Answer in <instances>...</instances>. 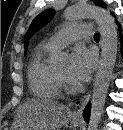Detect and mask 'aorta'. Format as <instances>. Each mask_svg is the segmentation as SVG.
Segmentation results:
<instances>
[{"label":"aorta","mask_w":123,"mask_h":130,"mask_svg":"<svg viewBox=\"0 0 123 130\" xmlns=\"http://www.w3.org/2000/svg\"><path fill=\"white\" fill-rule=\"evenodd\" d=\"M64 18L68 21L93 18L98 22L100 27L102 52L99 69L93 86L91 113L88 124V130H95L102 118L105 100L116 61L118 48L116 24L114 18L108 11L86 3H78L75 6L66 8L64 11ZM64 60V53H60L56 58V63H63Z\"/></svg>","instance_id":"aorta-1"}]
</instances>
